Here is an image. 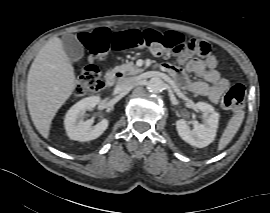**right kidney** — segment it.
<instances>
[{"mask_svg":"<svg viewBox=\"0 0 270 213\" xmlns=\"http://www.w3.org/2000/svg\"><path fill=\"white\" fill-rule=\"evenodd\" d=\"M100 101L99 96L87 97L68 110L64 119V126L71 140L90 141L98 138L108 128L109 121L107 119H103L95 126H92V119L86 121L82 119L86 110L93 109Z\"/></svg>","mask_w":270,"mask_h":213,"instance_id":"obj_1","label":"right kidney"}]
</instances>
